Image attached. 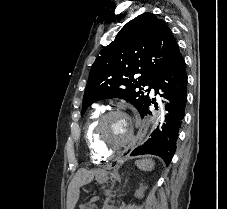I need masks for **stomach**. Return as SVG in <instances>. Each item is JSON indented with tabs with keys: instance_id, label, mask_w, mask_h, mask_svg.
Masks as SVG:
<instances>
[{
	"instance_id": "stomach-1",
	"label": "stomach",
	"mask_w": 227,
	"mask_h": 209,
	"mask_svg": "<svg viewBox=\"0 0 227 209\" xmlns=\"http://www.w3.org/2000/svg\"><path fill=\"white\" fill-rule=\"evenodd\" d=\"M97 180L102 183V182H105L107 180V177L106 176H103V175H98L97 176Z\"/></svg>"
}]
</instances>
